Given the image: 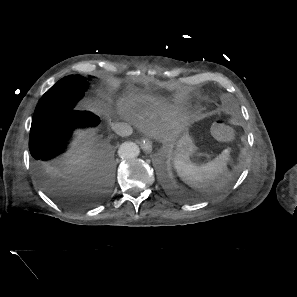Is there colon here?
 <instances>
[{"label":"colon","mask_w":297,"mask_h":297,"mask_svg":"<svg viewBox=\"0 0 297 297\" xmlns=\"http://www.w3.org/2000/svg\"><path fill=\"white\" fill-rule=\"evenodd\" d=\"M230 127L224 123H218L213 128V134L219 139H227L229 136Z\"/></svg>","instance_id":"obj_1"}]
</instances>
